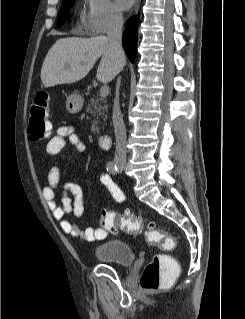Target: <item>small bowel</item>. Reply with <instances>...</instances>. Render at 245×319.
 <instances>
[{
  "label": "small bowel",
  "instance_id": "obj_1",
  "mask_svg": "<svg viewBox=\"0 0 245 319\" xmlns=\"http://www.w3.org/2000/svg\"><path fill=\"white\" fill-rule=\"evenodd\" d=\"M66 142L74 145L77 150L84 153L86 148L80 141L73 126H62L57 129L56 134L48 141L46 152L50 156L57 155L65 146ZM100 182L103 188L116 201L120 197L118 187L107 174H101ZM60 182V169L52 166L47 175V185L43 189V197L47 202L54 218L59 221L61 229L71 236H80L84 241L97 242L107 237V230L103 227H88L81 231L76 223L66 219L67 215L81 217L84 213L83 190L74 182L64 183L61 191L60 202L56 195ZM121 191V190H120ZM122 192V191H121Z\"/></svg>",
  "mask_w": 245,
  "mask_h": 319
}]
</instances>
